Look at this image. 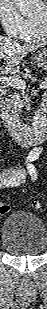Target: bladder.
<instances>
[{
  "instance_id": "1",
  "label": "bladder",
  "mask_w": 47,
  "mask_h": 309,
  "mask_svg": "<svg viewBox=\"0 0 47 309\" xmlns=\"http://www.w3.org/2000/svg\"><path fill=\"white\" fill-rule=\"evenodd\" d=\"M3 248L15 256L42 254L47 245V231L36 215L17 211L4 220L1 230Z\"/></svg>"
}]
</instances>
